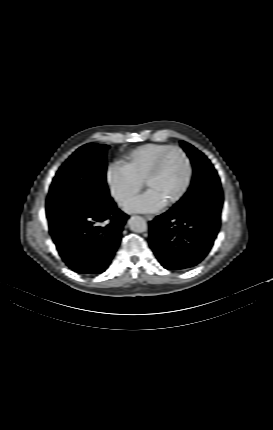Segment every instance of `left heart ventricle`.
I'll list each match as a JSON object with an SVG mask.
<instances>
[{
    "mask_svg": "<svg viewBox=\"0 0 273 430\" xmlns=\"http://www.w3.org/2000/svg\"><path fill=\"white\" fill-rule=\"evenodd\" d=\"M187 177L186 163L178 152H171L165 159L160 174L147 185L166 204L182 189Z\"/></svg>",
    "mask_w": 273,
    "mask_h": 430,
    "instance_id": "b2bd125f",
    "label": "left heart ventricle"
}]
</instances>
